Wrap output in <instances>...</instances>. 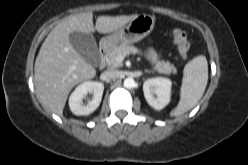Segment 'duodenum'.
<instances>
[{"instance_id":"1","label":"duodenum","mask_w":248,"mask_h":165,"mask_svg":"<svg viewBox=\"0 0 248 165\" xmlns=\"http://www.w3.org/2000/svg\"><path fill=\"white\" fill-rule=\"evenodd\" d=\"M109 48H110V46L108 43H105L100 47V50H99V57H100L99 67L101 69L104 68V66L106 64V57H107V54L109 52Z\"/></svg>"}]
</instances>
